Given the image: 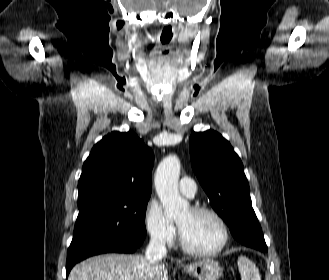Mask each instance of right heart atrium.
I'll use <instances>...</instances> for the list:
<instances>
[{
    "label": "right heart atrium",
    "mask_w": 329,
    "mask_h": 280,
    "mask_svg": "<svg viewBox=\"0 0 329 280\" xmlns=\"http://www.w3.org/2000/svg\"><path fill=\"white\" fill-rule=\"evenodd\" d=\"M144 221L146 231L152 242L166 247L173 244L176 238V229L166 218L162 207L157 202L151 200L147 203Z\"/></svg>",
    "instance_id": "right-heart-atrium-1"
}]
</instances>
